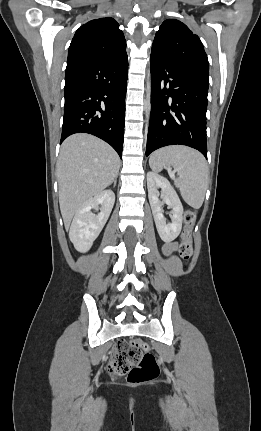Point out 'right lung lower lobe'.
Wrapping results in <instances>:
<instances>
[{
	"mask_svg": "<svg viewBox=\"0 0 261 431\" xmlns=\"http://www.w3.org/2000/svg\"><path fill=\"white\" fill-rule=\"evenodd\" d=\"M127 71V55L67 64L60 143L74 133H89L109 143L122 158Z\"/></svg>",
	"mask_w": 261,
	"mask_h": 431,
	"instance_id": "98d812e1",
	"label": "right lung lower lobe"
}]
</instances>
